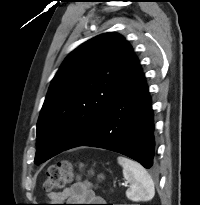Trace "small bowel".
Segmentation results:
<instances>
[{"mask_svg":"<svg viewBox=\"0 0 200 205\" xmlns=\"http://www.w3.org/2000/svg\"><path fill=\"white\" fill-rule=\"evenodd\" d=\"M48 205H105L102 198L97 196L89 184L77 182L60 192L50 193ZM71 204H62V203Z\"/></svg>","mask_w":200,"mask_h":205,"instance_id":"1","label":"small bowel"}]
</instances>
